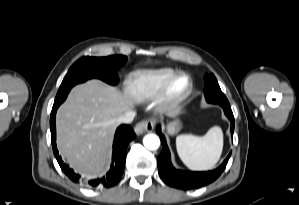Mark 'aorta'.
Instances as JSON below:
<instances>
[{"label": "aorta", "instance_id": "1", "mask_svg": "<svg viewBox=\"0 0 299 205\" xmlns=\"http://www.w3.org/2000/svg\"><path fill=\"white\" fill-rule=\"evenodd\" d=\"M143 144L149 150H156L160 146V139L155 134H148L144 137Z\"/></svg>", "mask_w": 299, "mask_h": 205}]
</instances>
